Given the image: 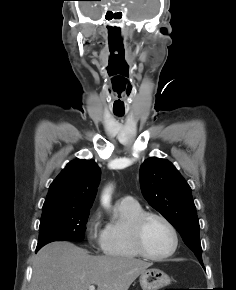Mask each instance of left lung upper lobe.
<instances>
[{
	"instance_id": "1",
	"label": "left lung upper lobe",
	"mask_w": 236,
	"mask_h": 290,
	"mask_svg": "<svg viewBox=\"0 0 236 290\" xmlns=\"http://www.w3.org/2000/svg\"><path fill=\"white\" fill-rule=\"evenodd\" d=\"M140 183L148 203L175 227L202 264L200 226L191 188L175 166L151 157L141 165Z\"/></svg>"
}]
</instances>
